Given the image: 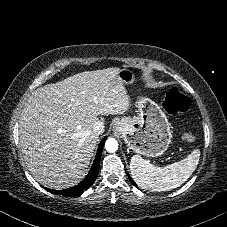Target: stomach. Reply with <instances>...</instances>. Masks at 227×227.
<instances>
[{"instance_id":"stomach-1","label":"stomach","mask_w":227,"mask_h":227,"mask_svg":"<svg viewBox=\"0 0 227 227\" xmlns=\"http://www.w3.org/2000/svg\"><path fill=\"white\" fill-rule=\"evenodd\" d=\"M119 76L124 84L136 82V73L130 68L120 69ZM136 105L138 115L117 120L114 130L134 152L147 157L160 156L167 150L172 138L167 116L149 98L141 97Z\"/></svg>"}]
</instances>
